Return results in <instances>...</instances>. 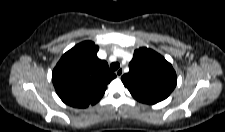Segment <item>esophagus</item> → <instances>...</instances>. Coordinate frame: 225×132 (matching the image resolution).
<instances>
[{
    "label": "esophagus",
    "instance_id": "esophagus-1",
    "mask_svg": "<svg viewBox=\"0 0 225 132\" xmlns=\"http://www.w3.org/2000/svg\"><path fill=\"white\" fill-rule=\"evenodd\" d=\"M116 76L119 78L123 75V69L119 68L116 72H115Z\"/></svg>",
    "mask_w": 225,
    "mask_h": 132
}]
</instances>
